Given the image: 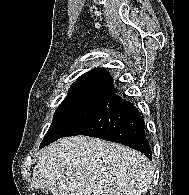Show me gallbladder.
Here are the masks:
<instances>
[{
	"mask_svg": "<svg viewBox=\"0 0 189 195\" xmlns=\"http://www.w3.org/2000/svg\"><path fill=\"white\" fill-rule=\"evenodd\" d=\"M42 192L45 194V195H49L50 194V191L48 189H42Z\"/></svg>",
	"mask_w": 189,
	"mask_h": 195,
	"instance_id": "1",
	"label": "gallbladder"
}]
</instances>
